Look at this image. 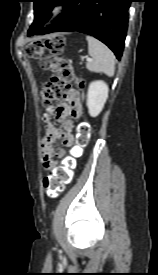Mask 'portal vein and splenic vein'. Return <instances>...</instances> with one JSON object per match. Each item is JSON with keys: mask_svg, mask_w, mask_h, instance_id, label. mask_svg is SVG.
<instances>
[{"mask_svg": "<svg viewBox=\"0 0 158 275\" xmlns=\"http://www.w3.org/2000/svg\"><path fill=\"white\" fill-rule=\"evenodd\" d=\"M86 60L88 61V62H91L93 59L92 58H86Z\"/></svg>", "mask_w": 158, "mask_h": 275, "instance_id": "obj_1", "label": "portal vein and splenic vein"}]
</instances>
